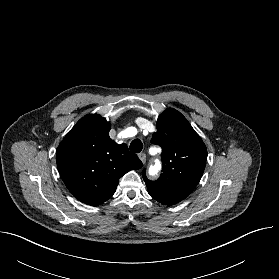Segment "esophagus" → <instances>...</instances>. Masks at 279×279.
Wrapping results in <instances>:
<instances>
[{
    "label": "esophagus",
    "mask_w": 279,
    "mask_h": 279,
    "mask_svg": "<svg viewBox=\"0 0 279 279\" xmlns=\"http://www.w3.org/2000/svg\"><path fill=\"white\" fill-rule=\"evenodd\" d=\"M138 157L143 164L146 162V155L144 153H139Z\"/></svg>",
    "instance_id": "esophagus-1"
}]
</instances>
